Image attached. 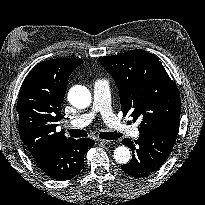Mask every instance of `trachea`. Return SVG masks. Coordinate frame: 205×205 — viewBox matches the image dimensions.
<instances>
[{
    "label": "trachea",
    "instance_id": "trachea-1",
    "mask_svg": "<svg viewBox=\"0 0 205 205\" xmlns=\"http://www.w3.org/2000/svg\"><path fill=\"white\" fill-rule=\"evenodd\" d=\"M70 136L74 138H81V137H87L88 134L85 130L80 129H73L69 130ZM100 138L106 139V140H114L120 138L122 135L120 133L116 132H102L99 134Z\"/></svg>",
    "mask_w": 205,
    "mask_h": 205
}]
</instances>
